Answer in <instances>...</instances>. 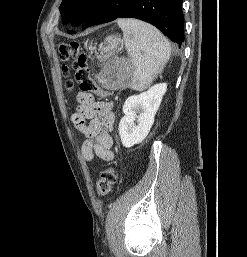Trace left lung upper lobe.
<instances>
[{"instance_id": "left-lung-upper-lobe-1", "label": "left lung upper lobe", "mask_w": 247, "mask_h": 257, "mask_svg": "<svg viewBox=\"0 0 247 257\" xmlns=\"http://www.w3.org/2000/svg\"><path fill=\"white\" fill-rule=\"evenodd\" d=\"M99 2L100 0H63L60 12L64 24L69 22L75 26L83 24ZM68 33L75 32L68 31Z\"/></svg>"}]
</instances>
